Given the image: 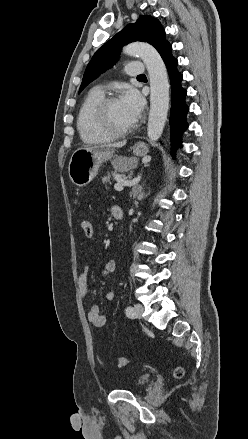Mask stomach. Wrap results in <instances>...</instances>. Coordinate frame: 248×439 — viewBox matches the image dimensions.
I'll return each mask as SVG.
<instances>
[{
    "label": "stomach",
    "mask_w": 248,
    "mask_h": 439,
    "mask_svg": "<svg viewBox=\"0 0 248 439\" xmlns=\"http://www.w3.org/2000/svg\"><path fill=\"white\" fill-rule=\"evenodd\" d=\"M133 153L142 157L148 153V147L139 142L133 146ZM114 155V150L109 147L79 148L70 158L68 174L72 183L78 187H84L97 175L100 165Z\"/></svg>",
    "instance_id": "stomach-1"
}]
</instances>
